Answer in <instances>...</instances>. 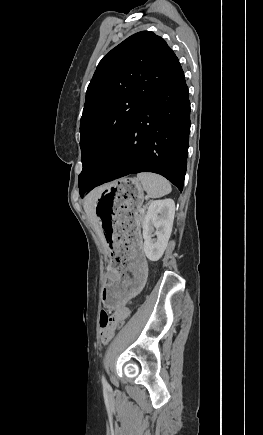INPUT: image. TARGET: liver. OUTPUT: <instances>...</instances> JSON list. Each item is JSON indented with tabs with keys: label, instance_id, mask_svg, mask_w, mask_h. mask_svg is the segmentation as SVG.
<instances>
[{
	"label": "liver",
	"instance_id": "6515ba94",
	"mask_svg": "<svg viewBox=\"0 0 263 435\" xmlns=\"http://www.w3.org/2000/svg\"><path fill=\"white\" fill-rule=\"evenodd\" d=\"M103 187L97 188L94 191H92L85 199L84 201V210L88 216V218L90 219V221L92 222L94 229L96 231V233L103 238L102 235V230L101 227L98 223V218L95 214V207H94V203L95 200L97 198V196L99 195V193L102 191Z\"/></svg>",
	"mask_w": 263,
	"mask_h": 435
}]
</instances>
